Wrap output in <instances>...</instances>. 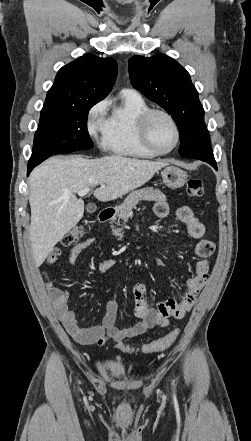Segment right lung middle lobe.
Instances as JSON below:
<instances>
[{"instance_id": "right-lung-middle-lobe-1", "label": "right lung middle lobe", "mask_w": 251, "mask_h": 441, "mask_svg": "<svg viewBox=\"0 0 251 441\" xmlns=\"http://www.w3.org/2000/svg\"><path fill=\"white\" fill-rule=\"evenodd\" d=\"M101 100L90 97L70 104H44L33 153L54 155L93 148L87 131V116Z\"/></svg>"}]
</instances>
